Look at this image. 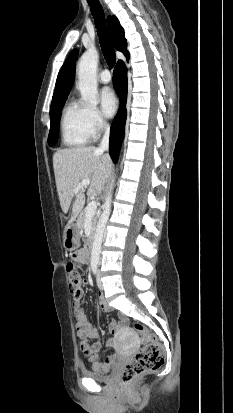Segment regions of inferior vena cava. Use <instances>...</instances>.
Returning <instances> with one entry per match:
<instances>
[{
	"label": "inferior vena cava",
	"mask_w": 233,
	"mask_h": 413,
	"mask_svg": "<svg viewBox=\"0 0 233 413\" xmlns=\"http://www.w3.org/2000/svg\"><path fill=\"white\" fill-rule=\"evenodd\" d=\"M109 133H110V127L108 124H105V133L103 135L102 141L100 143L99 149L101 151L108 150L109 147Z\"/></svg>",
	"instance_id": "inferior-vena-cava-1"
}]
</instances>
